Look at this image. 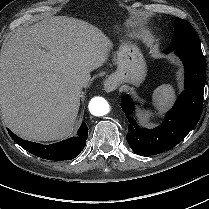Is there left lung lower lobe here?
<instances>
[{
  "mask_svg": "<svg viewBox=\"0 0 209 209\" xmlns=\"http://www.w3.org/2000/svg\"><path fill=\"white\" fill-rule=\"evenodd\" d=\"M170 51H165L169 53ZM185 67V90L163 123L154 128H140L132 116L134 104L129 96L121 99L129 121L127 142L139 155H156L175 147L196 126L203 108L206 79L205 59L200 44L175 49Z\"/></svg>",
  "mask_w": 209,
  "mask_h": 209,
  "instance_id": "obj_1",
  "label": "left lung lower lobe"
}]
</instances>
